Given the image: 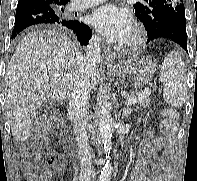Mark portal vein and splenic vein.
<instances>
[{
	"mask_svg": "<svg viewBox=\"0 0 197 181\" xmlns=\"http://www.w3.org/2000/svg\"><path fill=\"white\" fill-rule=\"evenodd\" d=\"M150 94H151L150 89L149 88H146L141 94L138 95V97H136L134 99H128V100H126L125 105L130 106V105L136 104V103H138V101L144 100L147 97H149Z\"/></svg>",
	"mask_w": 197,
	"mask_h": 181,
	"instance_id": "1",
	"label": "portal vein and splenic vein"
}]
</instances>
